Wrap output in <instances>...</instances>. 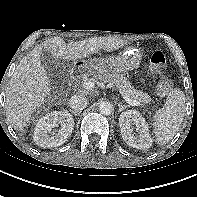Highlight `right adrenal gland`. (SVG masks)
Wrapping results in <instances>:
<instances>
[{"instance_id": "obj_1", "label": "right adrenal gland", "mask_w": 197, "mask_h": 197, "mask_svg": "<svg viewBox=\"0 0 197 197\" xmlns=\"http://www.w3.org/2000/svg\"><path fill=\"white\" fill-rule=\"evenodd\" d=\"M72 114H74L75 116H78L80 113H76V112H74V111H72V110H69Z\"/></svg>"}]
</instances>
